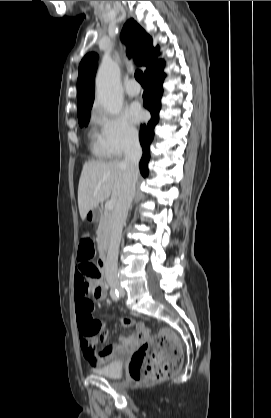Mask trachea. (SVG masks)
Segmentation results:
<instances>
[{"label": "trachea", "mask_w": 271, "mask_h": 418, "mask_svg": "<svg viewBox=\"0 0 271 418\" xmlns=\"http://www.w3.org/2000/svg\"><path fill=\"white\" fill-rule=\"evenodd\" d=\"M127 55H128L129 58H131V49L129 47L127 48ZM135 78L142 86H144V79H143V72L142 71L136 70L135 71Z\"/></svg>", "instance_id": "trachea-1"}]
</instances>
